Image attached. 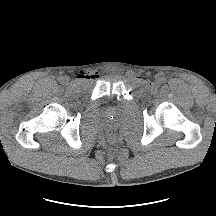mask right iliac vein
<instances>
[{
  "instance_id": "right-iliac-vein-1",
  "label": "right iliac vein",
  "mask_w": 216,
  "mask_h": 216,
  "mask_svg": "<svg viewBox=\"0 0 216 216\" xmlns=\"http://www.w3.org/2000/svg\"><path fill=\"white\" fill-rule=\"evenodd\" d=\"M64 81H67L68 80V78L67 77H64V79H63Z\"/></svg>"
}]
</instances>
